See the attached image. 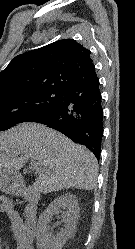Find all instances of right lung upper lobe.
<instances>
[{"instance_id":"obj_1","label":"right lung upper lobe","mask_w":135,"mask_h":249,"mask_svg":"<svg viewBox=\"0 0 135 249\" xmlns=\"http://www.w3.org/2000/svg\"><path fill=\"white\" fill-rule=\"evenodd\" d=\"M97 77L90 51L63 39L16 56L0 72V97L35 91L64 92Z\"/></svg>"}]
</instances>
